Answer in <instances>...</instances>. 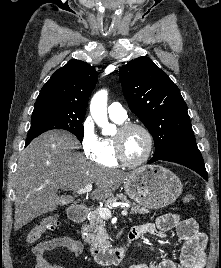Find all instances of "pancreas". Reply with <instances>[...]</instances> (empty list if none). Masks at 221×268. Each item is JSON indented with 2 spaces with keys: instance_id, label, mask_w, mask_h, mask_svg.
<instances>
[{
  "instance_id": "obj_1",
  "label": "pancreas",
  "mask_w": 221,
  "mask_h": 268,
  "mask_svg": "<svg viewBox=\"0 0 221 268\" xmlns=\"http://www.w3.org/2000/svg\"><path fill=\"white\" fill-rule=\"evenodd\" d=\"M116 201H122L125 203H129V200L126 198V196L119 194L116 196H112L109 199L105 201V207H108L110 204L116 202ZM149 210L144 207H140L139 205L133 203L131 204L130 208V214H146ZM89 224L84 225L82 227V238L87 242L90 243L92 247L95 248H108L110 247V243L108 240V235L106 233V230L104 228V221L102 217L98 214V211H92L89 215Z\"/></svg>"
}]
</instances>
